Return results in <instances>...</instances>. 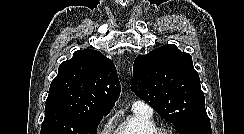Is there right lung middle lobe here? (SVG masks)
I'll return each mask as SVG.
<instances>
[{"label":"right lung middle lobe","instance_id":"obj_1","mask_svg":"<svg viewBox=\"0 0 244 134\" xmlns=\"http://www.w3.org/2000/svg\"><path fill=\"white\" fill-rule=\"evenodd\" d=\"M103 116L81 114L58 105L45 107L41 134H96Z\"/></svg>","mask_w":244,"mask_h":134}]
</instances>
